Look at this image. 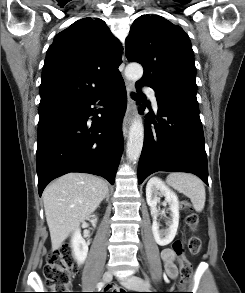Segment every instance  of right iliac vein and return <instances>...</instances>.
<instances>
[{
	"instance_id": "1",
	"label": "right iliac vein",
	"mask_w": 245,
	"mask_h": 293,
	"mask_svg": "<svg viewBox=\"0 0 245 293\" xmlns=\"http://www.w3.org/2000/svg\"><path fill=\"white\" fill-rule=\"evenodd\" d=\"M112 273L111 272H105L104 275H103V281L105 283H109L111 280H112Z\"/></svg>"
}]
</instances>
